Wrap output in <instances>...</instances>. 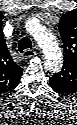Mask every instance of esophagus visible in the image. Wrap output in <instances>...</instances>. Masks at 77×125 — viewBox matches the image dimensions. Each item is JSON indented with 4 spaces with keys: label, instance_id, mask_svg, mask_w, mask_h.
<instances>
[{
    "label": "esophagus",
    "instance_id": "obj_1",
    "mask_svg": "<svg viewBox=\"0 0 77 125\" xmlns=\"http://www.w3.org/2000/svg\"><path fill=\"white\" fill-rule=\"evenodd\" d=\"M34 55H35V51H33L31 49H25V50H23V52L21 54L22 58H30Z\"/></svg>",
    "mask_w": 77,
    "mask_h": 125
}]
</instances>
